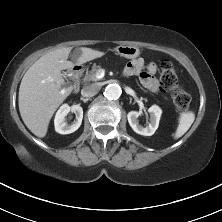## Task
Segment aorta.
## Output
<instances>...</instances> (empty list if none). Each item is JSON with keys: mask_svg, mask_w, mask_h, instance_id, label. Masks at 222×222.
<instances>
[{"mask_svg": "<svg viewBox=\"0 0 222 222\" xmlns=\"http://www.w3.org/2000/svg\"><path fill=\"white\" fill-rule=\"evenodd\" d=\"M122 91L119 85L117 84H109L104 92V95L109 100L118 99L121 95Z\"/></svg>", "mask_w": 222, "mask_h": 222, "instance_id": "762f6f07", "label": "aorta"}]
</instances>
